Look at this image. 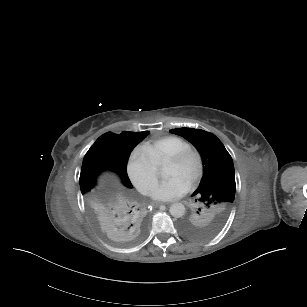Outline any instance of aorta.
<instances>
[{"label":"aorta","instance_id":"762f6f07","mask_svg":"<svg viewBox=\"0 0 307 307\" xmlns=\"http://www.w3.org/2000/svg\"><path fill=\"white\" fill-rule=\"evenodd\" d=\"M159 173H160L161 178L163 179H165L169 175V172L165 166L161 167ZM169 212L173 217L180 218L185 213V207L182 203H174L170 206Z\"/></svg>","mask_w":307,"mask_h":307}]
</instances>
